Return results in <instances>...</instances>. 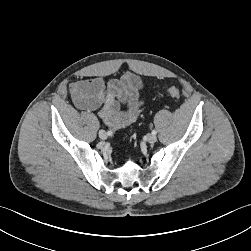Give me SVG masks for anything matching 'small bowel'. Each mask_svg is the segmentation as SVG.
Listing matches in <instances>:
<instances>
[{"instance_id": "c3829d8e", "label": "small bowel", "mask_w": 251, "mask_h": 251, "mask_svg": "<svg viewBox=\"0 0 251 251\" xmlns=\"http://www.w3.org/2000/svg\"><path fill=\"white\" fill-rule=\"evenodd\" d=\"M143 81L133 73L105 82L98 77L84 78L70 84L74 105L80 110L97 111L113 129L133 123L144 107L140 96Z\"/></svg>"}]
</instances>
